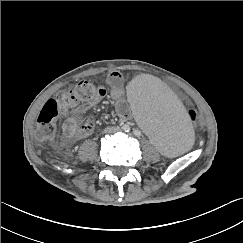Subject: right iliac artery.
<instances>
[{"label":"right iliac artery","instance_id":"1","mask_svg":"<svg viewBox=\"0 0 243 243\" xmlns=\"http://www.w3.org/2000/svg\"><path fill=\"white\" fill-rule=\"evenodd\" d=\"M122 128H123V130L125 132H129L130 131V127L128 125H124Z\"/></svg>","mask_w":243,"mask_h":243}]
</instances>
